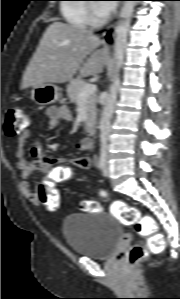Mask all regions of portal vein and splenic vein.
Wrapping results in <instances>:
<instances>
[{
    "mask_svg": "<svg viewBox=\"0 0 180 299\" xmlns=\"http://www.w3.org/2000/svg\"><path fill=\"white\" fill-rule=\"evenodd\" d=\"M97 91V87L94 84H87L79 93V98L88 97L90 95L95 94Z\"/></svg>",
    "mask_w": 180,
    "mask_h": 299,
    "instance_id": "obj_1",
    "label": "portal vein and splenic vein"
}]
</instances>
